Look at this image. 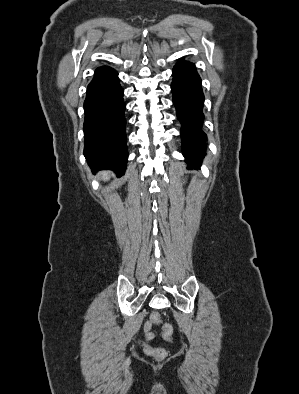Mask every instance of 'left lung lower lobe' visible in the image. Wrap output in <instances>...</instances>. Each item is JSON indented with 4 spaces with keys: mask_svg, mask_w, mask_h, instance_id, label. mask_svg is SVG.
<instances>
[{
    "mask_svg": "<svg viewBox=\"0 0 299 394\" xmlns=\"http://www.w3.org/2000/svg\"><path fill=\"white\" fill-rule=\"evenodd\" d=\"M171 90L177 118L182 124V152L190 168H199L205 156L206 134L201 130L204 95L196 67L179 61L173 69Z\"/></svg>",
    "mask_w": 299,
    "mask_h": 394,
    "instance_id": "left-lung-lower-lobe-1",
    "label": "left lung lower lobe"
}]
</instances>
